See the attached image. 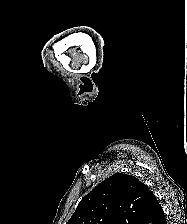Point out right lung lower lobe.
<instances>
[{
  "label": "right lung lower lobe",
  "mask_w": 187,
  "mask_h": 224,
  "mask_svg": "<svg viewBox=\"0 0 187 224\" xmlns=\"http://www.w3.org/2000/svg\"><path fill=\"white\" fill-rule=\"evenodd\" d=\"M164 224H167L166 220H165Z\"/></svg>",
  "instance_id": "98d812e1"
}]
</instances>
